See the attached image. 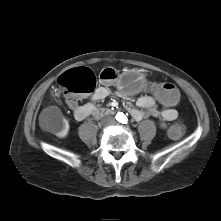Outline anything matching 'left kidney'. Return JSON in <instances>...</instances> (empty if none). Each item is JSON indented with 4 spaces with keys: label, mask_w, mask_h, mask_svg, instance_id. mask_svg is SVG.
<instances>
[{
    "label": "left kidney",
    "mask_w": 221,
    "mask_h": 221,
    "mask_svg": "<svg viewBox=\"0 0 221 221\" xmlns=\"http://www.w3.org/2000/svg\"><path fill=\"white\" fill-rule=\"evenodd\" d=\"M161 127H162V128H166V124H165V123H162V124H161Z\"/></svg>",
    "instance_id": "left-kidney-1"
}]
</instances>
